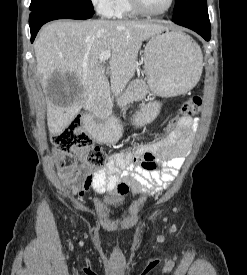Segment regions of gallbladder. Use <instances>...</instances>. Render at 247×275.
<instances>
[{
    "mask_svg": "<svg viewBox=\"0 0 247 275\" xmlns=\"http://www.w3.org/2000/svg\"><path fill=\"white\" fill-rule=\"evenodd\" d=\"M80 91V84L72 74L55 72L46 84V92L49 97L65 101Z\"/></svg>",
    "mask_w": 247,
    "mask_h": 275,
    "instance_id": "obj_1",
    "label": "gallbladder"
}]
</instances>
